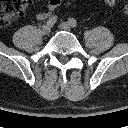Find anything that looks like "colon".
<instances>
[{"instance_id":"colon-1","label":"colon","mask_w":128,"mask_h":128,"mask_svg":"<svg viewBox=\"0 0 128 128\" xmlns=\"http://www.w3.org/2000/svg\"><path fill=\"white\" fill-rule=\"evenodd\" d=\"M28 0H0V26L7 25L21 16L26 8ZM109 6L116 0H103ZM124 13L128 15V4L124 7Z\"/></svg>"}]
</instances>
